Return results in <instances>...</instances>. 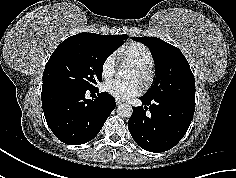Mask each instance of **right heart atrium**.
I'll return each mask as SVG.
<instances>
[{
  "instance_id": "d8ad5b80",
  "label": "right heart atrium",
  "mask_w": 236,
  "mask_h": 178,
  "mask_svg": "<svg viewBox=\"0 0 236 178\" xmlns=\"http://www.w3.org/2000/svg\"><path fill=\"white\" fill-rule=\"evenodd\" d=\"M117 67V56L115 54H109L105 57L101 64V75L104 79L108 80L110 79Z\"/></svg>"
}]
</instances>
